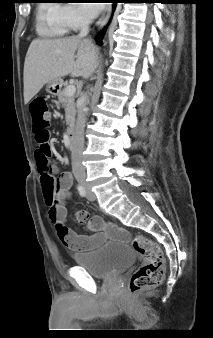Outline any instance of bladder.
Listing matches in <instances>:
<instances>
[{
	"label": "bladder",
	"mask_w": 213,
	"mask_h": 338,
	"mask_svg": "<svg viewBox=\"0 0 213 338\" xmlns=\"http://www.w3.org/2000/svg\"><path fill=\"white\" fill-rule=\"evenodd\" d=\"M74 259L93 278L109 279L131 266L135 253L128 243H106L89 253L75 255Z\"/></svg>",
	"instance_id": "obj_1"
}]
</instances>
